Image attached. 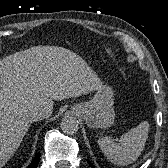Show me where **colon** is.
I'll use <instances>...</instances> for the list:
<instances>
[{"mask_svg": "<svg viewBox=\"0 0 168 168\" xmlns=\"http://www.w3.org/2000/svg\"><path fill=\"white\" fill-rule=\"evenodd\" d=\"M107 51L110 52V48H107Z\"/></svg>", "mask_w": 168, "mask_h": 168, "instance_id": "5ec220e1", "label": "colon"}]
</instances>
